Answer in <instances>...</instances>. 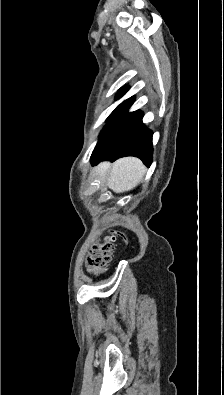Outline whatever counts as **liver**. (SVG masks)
Wrapping results in <instances>:
<instances>
[{
    "mask_svg": "<svg viewBox=\"0 0 224 395\" xmlns=\"http://www.w3.org/2000/svg\"><path fill=\"white\" fill-rule=\"evenodd\" d=\"M101 181L116 193L134 189L143 179L146 167L135 157H124L111 164L103 162L95 170Z\"/></svg>",
    "mask_w": 224,
    "mask_h": 395,
    "instance_id": "obj_1",
    "label": "liver"
}]
</instances>
